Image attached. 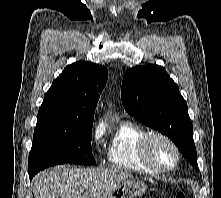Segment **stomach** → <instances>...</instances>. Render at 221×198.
<instances>
[{
    "mask_svg": "<svg viewBox=\"0 0 221 198\" xmlns=\"http://www.w3.org/2000/svg\"><path fill=\"white\" fill-rule=\"evenodd\" d=\"M147 186L139 180H126L105 198H137L145 194Z\"/></svg>",
    "mask_w": 221,
    "mask_h": 198,
    "instance_id": "obj_1",
    "label": "stomach"
}]
</instances>
